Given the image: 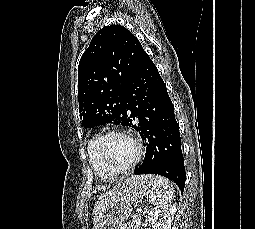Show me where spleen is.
Listing matches in <instances>:
<instances>
[{
    "label": "spleen",
    "mask_w": 255,
    "mask_h": 229,
    "mask_svg": "<svg viewBox=\"0 0 255 229\" xmlns=\"http://www.w3.org/2000/svg\"><path fill=\"white\" fill-rule=\"evenodd\" d=\"M156 188L149 195L152 204H167L173 199L174 191L172 183L163 176L154 177Z\"/></svg>",
    "instance_id": "spleen-1"
}]
</instances>
